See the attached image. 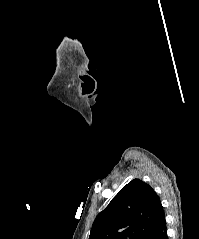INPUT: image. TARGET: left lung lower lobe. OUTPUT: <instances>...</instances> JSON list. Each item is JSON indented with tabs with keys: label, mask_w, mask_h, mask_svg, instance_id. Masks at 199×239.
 I'll list each match as a JSON object with an SVG mask.
<instances>
[{
	"label": "left lung lower lobe",
	"mask_w": 199,
	"mask_h": 239,
	"mask_svg": "<svg viewBox=\"0 0 199 239\" xmlns=\"http://www.w3.org/2000/svg\"><path fill=\"white\" fill-rule=\"evenodd\" d=\"M148 239H168L164 212L156 221Z\"/></svg>",
	"instance_id": "left-lung-lower-lobe-1"
}]
</instances>
